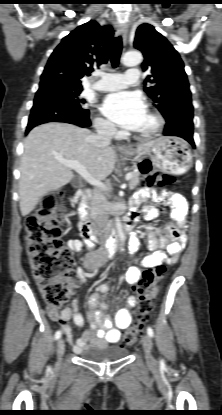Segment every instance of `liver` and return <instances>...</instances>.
I'll return each mask as SVG.
<instances>
[{
  "instance_id": "6515ba94",
  "label": "liver",
  "mask_w": 222,
  "mask_h": 415,
  "mask_svg": "<svg viewBox=\"0 0 222 415\" xmlns=\"http://www.w3.org/2000/svg\"><path fill=\"white\" fill-rule=\"evenodd\" d=\"M91 132L68 123H46L30 131L24 141L20 162L19 197L22 216L30 214L47 193L68 184L71 168L57 158L77 161L95 179L102 180L115 167V151L96 147ZM149 143L139 145L136 152L146 151Z\"/></svg>"
}]
</instances>
